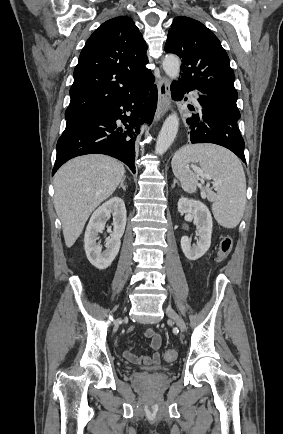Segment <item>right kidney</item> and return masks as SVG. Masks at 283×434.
Wrapping results in <instances>:
<instances>
[{"mask_svg": "<svg viewBox=\"0 0 283 434\" xmlns=\"http://www.w3.org/2000/svg\"><path fill=\"white\" fill-rule=\"evenodd\" d=\"M113 215V233L106 240V250L102 251V246L97 243L98 234L105 228L106 221ZM126 226V208L121 198L113 197L102 204L92 214L87 225L84 237V247L89 262L104 270L108 268L117 256L121 237Z\"/></svg>", "mask_w": 283, "mask_h": 434, "instance_id": "obj_1", "label": "right kidney"}]
</instances>
